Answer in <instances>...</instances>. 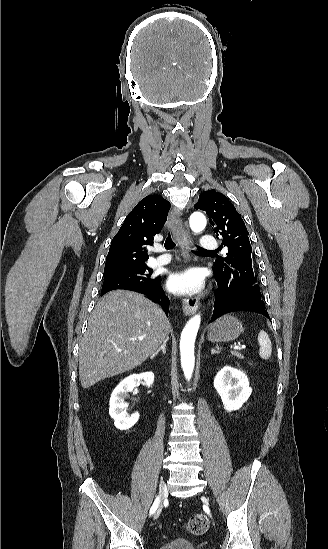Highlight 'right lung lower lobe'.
Segmentation results:
<instances>
[{"label":"right lung lower lobe","instance_id":"1","mask_svg":"<svg viewBox=\"0 0 328 549\" xmlns=\"http://www.w3.org/2000/svg\"><path fill=\"white\" fill-rule=\"evenodd\" d=\"M130 290L142 293V294L148 296L152 300L157 301V300L161 299L163 309L166 312V314L168 315L169 299L167 297H165L164 290L162 289V287L159 284V278L153 284H151L148 287L133 288V289H130Z\"/></svg>","mask_w":328,"mask_h":549}]
</instances>
